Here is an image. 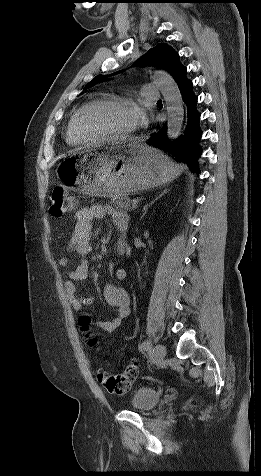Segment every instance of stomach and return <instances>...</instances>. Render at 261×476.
<instances>
[{
	"instance_id": "obj_1",
	"label": "stomach",
	"mask_w": 261,
	"mask_h": 476,
	"mask_svg": "<svg viewBox=\"0 0 261 476\" xmlns=\"http://www.w3.org/2000/svg\"><path fill=\"white\" fill-rule=\"evenodd\" d=\"M59 171L62 183L79 195L112 198L165 185L181 173L162 152L135 141L116 147L94 144V151L67 156Z\"/></svg>"
}]
</instances>
